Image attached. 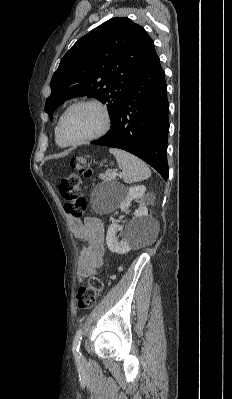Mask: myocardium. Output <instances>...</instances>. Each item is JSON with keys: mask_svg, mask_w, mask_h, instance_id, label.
<instances>
[{"mask_svg": "<svg viewBox=\"0 0 232 399\" xmlns=\"http://www.w3.org/2000/svg\"><path fill=\"white\" fill-rule=\"evenodd\" d=\"M79 105H91V106L97 107L101 111V114L103 117V124H102L101 128L96 133L92 134L91 136L86 137L84 139H80V140H72L65 135V133L63 131V123H64L65 117L67 116L69 111ZM111 124H112L111 115H110V112L106 105H104L98 101H94V100H81V101L74 102L73 104H71L64 110L63 114L61 115V117L58 121V133H59L61 139L66 144L73 145V146L81 145V144H85V143H88V142H91V141H94V140H97V139L103 137L110 130Z\"/></svg>", "mask_w": 232, "mask_h": 399, "instance_id": "obj_1", "label": "myocardium"}]
</instances>
